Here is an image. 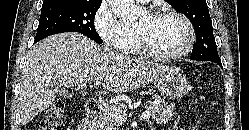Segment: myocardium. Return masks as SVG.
<instances>
[{
	"instance_id": "obj_1",
	"label": "myocardium",
	"mask_w": 249,
	"mask_h": 130,
	"mask_svg": "<svg viewBox=\"0 0 249 130\" xmlns=\"http://www.w3.org/2000/svg\"><path fill=\"white\" fill-rule=\"evenodd\" d=\"M150 15L155 18L165 17V16H172V17L178 18L184 23L187 29L188 37L184 45L178 51L174 53H170V54H160V53L153 51L150 48L145 36L141 32L136 30V36L138 39V45H139L140 51L146 57L152 60H155V61H173V60H177L185 56L190 51L192 46L194 45L195 39H196L195 28L191 20L183 13L178 12L174 9H158V10L152 11Z\"/></svg>"
}]
</instances>
